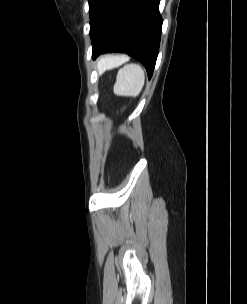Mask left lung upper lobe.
<instances>
[{
  "label": "left lung upper lobe",
  "mask_w": 247,
  "mask_h": 304,
  "mask_svg": "<svg viewBox=\"0 0 247 304\" xmlns=\"http://www.w3.org/2000/svg\"><path fill=\"white\" fill-rule=\"evenodd\" d=\"M89 1V13L90 19L94 16L95 12L97 11L101 0H88Z\"/></svg>",
  "instance_id": "1"
}]
</instances>
